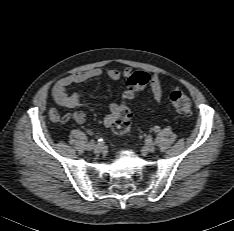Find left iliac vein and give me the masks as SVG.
Segmentation results:
<instances>
[{"label":"left iliac vein","instance_id":"1","mask_svg":"<svg viewBox=\"0 0 234 231\" xmlns=\"http://www.w3.org/2000/svg\"><path fill=\"white\" fill-rule=\"evenodd\" d=\"M154 150H155L154 142H147L143 146V151H145V152H153Z\"/></svg>","mask_w":234,"mask_h":231}]
</instances>
